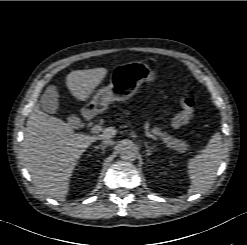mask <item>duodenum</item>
Returning a JSON list of instances; mask_svg holds the SVG:
<instances>
[{
  "label": "duodenum",
  "mask_w": 247,
  "mask_h": 245,
  "mask_svg": "<svg viewBox=\"0 0 247 245\" xmlns=\"http://www.w3.org/2000/svg\"><path fill=\"white\" fill-rule=\"evenodd\" d=\"M83 118L86 120V121H89L91 120L92 118V112L90 110H85L83 112Z\"/></svg>",
  "instance_id": "1"
}]
</instances>
